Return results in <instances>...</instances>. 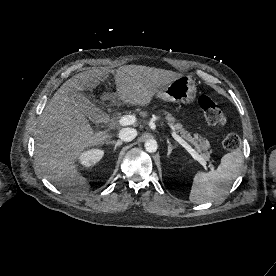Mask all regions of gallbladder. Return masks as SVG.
<instances>
[{
	"instance_id": "bac80fb5",
	"label": "gallbladder",
	"mask_w": 276,
	"mask_h": 276,
	"mask_svg": "<svg viewBox=\"0 0 276 276\" xmlns=\"http://www.w3.org/2000/svg\"><path fill=\"white\" fill-rule=\"evenodd\" d=\"M71 102L94 123H101L105 113L91 100L80 92L69 93Z\"/></svg>"
}]
</instances>
